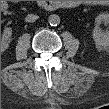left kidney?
Segmentation results:
<instances>
[{
  "mask_svg": "<svg viewBox=\"0 0 109 109\" xmlns=\"http://www.w3.org/2000/svg\"><path fill=\"white\" fill-rule=\"evenodd\" d=\"M96 27L93 30L92 38L95 41L96 46L106 47L109 44V31L101 30L99 25L104 23L108 25L109 23V15L107 13H103L98 15L95 18Z\"/></svg>",
  "mask_w": 109,
  "mask_h": 109,
  "instance_id": "left-kidney-1",
  "label": "left kidney"
}]
</instances>
